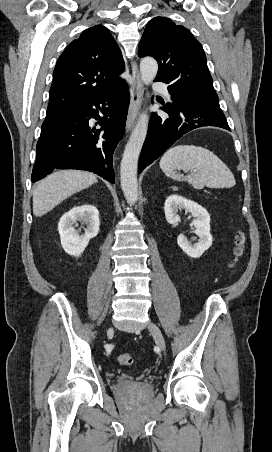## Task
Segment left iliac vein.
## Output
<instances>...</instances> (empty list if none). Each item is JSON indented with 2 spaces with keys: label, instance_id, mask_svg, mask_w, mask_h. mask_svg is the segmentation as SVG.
Here are the masks:
<instances>
[{
  "label": "left iliac vein",
  "instance_id": "obj_1",
  "mask_svg": "<svg viewBox=\"0 0 272 452\" xmlns=\"http://www.w3.org/2000/svg\"><path fill=\"white\" fill-rule=\"evenodd\" d=\"M148 328H149V331L152 333V335H153V337H154V339H155V342H156L157 346H158L162 351H165V349H166V343H165L163 334H162L161 330L159 329V327H158L156 324H154V323H150L149 326H148Z\"/></svg>",
  "mask_w": 272,
  "mask_h": 452
}]
</instances>
